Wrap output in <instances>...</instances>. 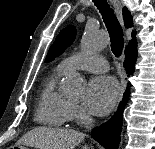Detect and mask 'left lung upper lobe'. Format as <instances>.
<instances>
[{
	"label": "left lung upper lobe",
	"mask_w": 155,
	"mask_h": 149,
	"mask_svg": "<svg viewBox=\"0 0 155 149\" xmlns=\"http://www.w3.org/2000/svg\"><path fill=\"white\" fill-rule=\"evenodd\" d=\"M76 36V29L74 26H68L63 29L56 37L54 44L50 47L45 62L54 60L65 51V49L71 45Z\"/></svg>",
	"instance_id": "left-lung-upper-lobe-1"
}]
</instances>
